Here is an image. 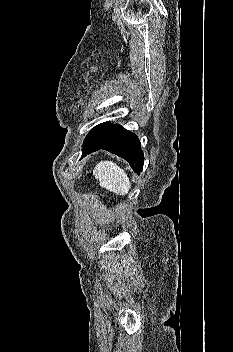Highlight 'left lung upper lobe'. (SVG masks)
<instances>
[{
  "instance_id": "left-lung-upper-lobe-1",
  "label": "left lung upper lobe",
  "mask_w": 233,
  "mask_h": 352,
  "mask_svg": "<svg viewBox=\"0 0 233 352\" xmlns=\"http://www.w3.org/2000/svg\"><path fill=\"white\" fill-rule=\"evenodd\" d=\"M112 124L110 123H103L100 124L96 127H94L88 134V136L85 138L83 145L88 143L90 140L93 138L97 137L99 134H101L104 130H106L108 127H110Z\"/></svg>"
}]
</instances>
